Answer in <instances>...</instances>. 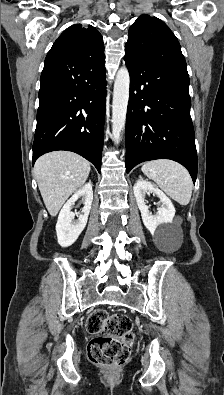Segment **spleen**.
<instances>
[{
  "mask_svg": "<svg viewBox=\"0 0 224 395\" xmlns=\"http://www.w3.org/2000/svg\"><path fill=\"white\" fill-rule=\"evenodd\" d=\"M141 170L176 202L181 205L189 203L193 183L185 167L175 161L160 159L144 163Z\"/></svg>",
  "mask_w": 224,
  "mask_h": 395,
  "instance_id": "spleen-1",
  "label": "spleen"
}]
</instances>
